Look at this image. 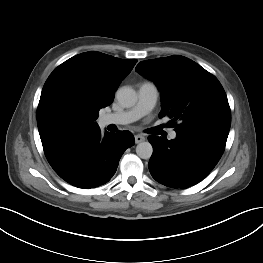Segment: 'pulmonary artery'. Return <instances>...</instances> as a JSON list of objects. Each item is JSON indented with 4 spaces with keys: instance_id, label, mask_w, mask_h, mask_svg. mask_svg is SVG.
I'll list each match as a JSON object with an SVG mask.
<instances>
[{
    "instance_id": "pulmonary-artery-1",
    "label": "pulmonary artery",
    "mask_w": 263,
    "mask_h": 263,
    "mask_svg": "<svg viewBox=\"0 0 263 263\" xmlns=\"http://www.w3.org/2000/svg\"><path fill=\"white\" fill-rule=\"evenodd\" d=\"M158 95V88L153 82H143L138 88V101L134 107L120 112L105 114L101 117V122L104 125L132 123L153 109ZM169 136L171 139H175L176 132L171 131Z\"/></svg>"
}]
</instances>
